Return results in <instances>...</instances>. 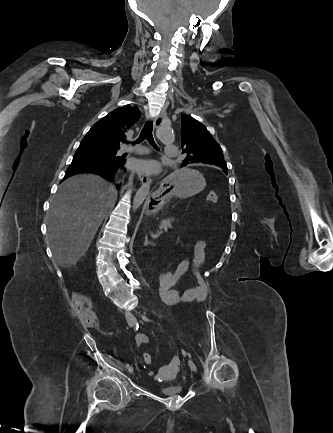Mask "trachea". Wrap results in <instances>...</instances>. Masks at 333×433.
Returning a JSON list of instances; mask_svg holds the SVG:
<instances>
[{"label":"trachea","mask_w":333,"mask_h":433,"mask_svg":"<svg viewBox=\"0 0 333 433\" xmlns=\"http://www.w3.org/2000/svg\"><path fill=\"white\" fill-rule=\"evenodd\" d=\"M152 130H153V123L151 121H147L140 133L139 138L136 140V143H140L143 140L147 139L148 142L155 148L158 149L156 143L154 142L153 139V135H152Z\"/></svg>","instance_id":"trachea-1"}]
</instances>
